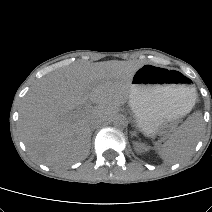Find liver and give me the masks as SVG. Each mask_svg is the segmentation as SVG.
Instances as JSON below:
<instances>
[{"mask_svg": "<svg viewBox=\"0 0 212 212\" xmlns=\"http://www.w3.org/2000/svg\"><path fill=\"white\" fill-rule=\"evenodd\" d=\"M139 67L127 61L74 63L42 78L20 109L18 128L30 155L47 166L85 158L90 150V120H107L119 111L129 100ZM87 102L95 106L73 112Z\"/></svg>", "mask_w": 212, "mask_h": 212, "instance_id": "liver-1", "label": "liver"}]
</instances>
